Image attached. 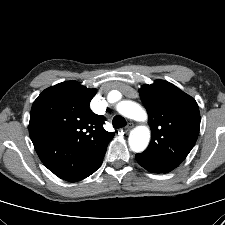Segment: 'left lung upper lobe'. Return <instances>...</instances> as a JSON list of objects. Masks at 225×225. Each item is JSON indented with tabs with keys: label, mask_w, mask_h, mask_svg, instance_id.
<instances>
[{
	"label": "left lung upper lobe",
	"mask_w": 225,
	"mask_h": 225,
	"mask_svg": "<svg viewBox=\"0 0 225 225\" xmlns=\"http://www.w3.org/2000/svg\"><path fill=\"white\" fill-rule=\"evenodd\" d=\"M139 93L152 130L150 145L141 155L174 169L196 143L200 129L197 102L163 80L143 85Z\"/></svg>",
	"instance_id": "left-lung-upper-lobe-1"
}]
</instances>
